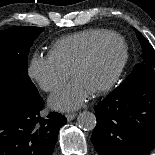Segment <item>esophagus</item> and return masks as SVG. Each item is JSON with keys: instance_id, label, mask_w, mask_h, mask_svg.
<instances>
[{"instance_id": "1", "label": "esophagus", "mask_w": 155, "mask_h": 155, "mask_svg": "<svg viewBox=\"0 0 155 155\" xmlns=\"http://www.w3.org/2000/svg\"><path fill=\"white\" fill-rule=\"evenodd\" d=\"M75 117H76V114H67V115H66V118H67L68 121L74 120Z\"/></svg>"}]
</instances>
